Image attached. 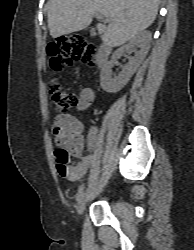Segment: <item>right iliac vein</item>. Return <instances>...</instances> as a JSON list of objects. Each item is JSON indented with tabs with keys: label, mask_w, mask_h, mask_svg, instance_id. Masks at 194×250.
<instances>
[{
	"label": "right iliac vein",
	"mask_w": 194,
	"mask_h": 250,
	"mask_svg": "<svg viewBox=\"0 0 194 250\" xmlns=\"http://www.w3.org/2000/svg\"><path fill=\"white\" fill-rule=\"evenodd\" d=\"M85 204H86V194L83 193L78 201L77 212L79 215H81L83 213L84 208H85Z\"/></svg>",
	"instance_id": "right-iliac-vein-1"
}]
</instances>
